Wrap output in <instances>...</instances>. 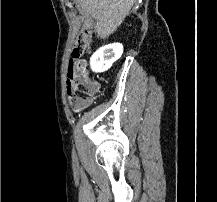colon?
I'll return each mask as SVG.
<instances>
[{"label": "colon", "mask_w": 217, "mask_h": 202, "mask_svg": "<svg viewBox=\"0 0 217 202\" xmlns=\"http://www.w3.org/2000/svg\"><path fill=\"white\" fill-rule=\"evenodd\" d=\"M76 46H89V41H93V36H75ZM71 54H81V49H71ZM71 59H67V64H72L67 73L68 82V99L69 103H76L73 111H78L80 106H87L97 97L96 92L100 91V86L87 78L86 68L89 67L86 59H81V55H71ZM76 91V93H75Z\"/></svg>", "instance_id": "5ec220e1"}]
</instances>
